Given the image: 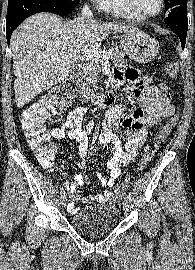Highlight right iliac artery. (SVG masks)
I'll list each match as a JSON object with an SVG mask.
<instances>
[{
    "label": "right iliac artery",
    "mask_w": 195,
    "mask_h": 270,
    "mask_svg": "<svg viewBox=\"0 0 195 270\" xmlns=\"http://www.w3.org/2000/svg\"><path fill=\"white\" fill-rule=\"evenodd\" d=\"M60 195H61V197L64 196L65 195V191L64 190H61L60 191Z\"/></svg>",
    "instance_id": "obj_1"
}]
</instances>
